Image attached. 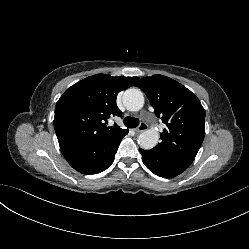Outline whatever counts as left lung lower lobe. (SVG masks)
Returning <instances> with one entry per match:
<instances>
[{
  "instance_id": "0a47b994",
  "label": "left lung lower lobe",
  "mask_w": 249,
  "mask_h": 249,
  "mask_svg": "<svg viewBox=\"0 0 249 249\" xmlns=\"http://www.w3.org/2000/svg\"><path fill=\"white\" fill-rule=\"evenodd\" d=\"M145 166L160 177L170 178L181 174L193 162L190 159L155 153L139 149Z\"/></svg>"
}]
</instances>
